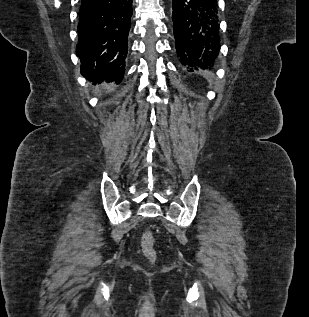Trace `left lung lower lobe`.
Here are the masks:
<instances>
[{"label":"left lung lower lobe","instance_id":"1","mask_svg":"<svg viewBox=\"0 0 309 317\" xmlns=\"http://www.w3.org/2000/svg\"><path fill=\"white\" fill-rule=\"evenodd\" d=\"M176 51L184 66L211 68L220 51L218 0H172Z\"/></svg>","mask_w":309,"mask_h":317}]
</instances>
